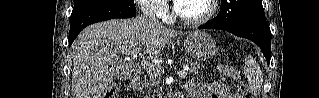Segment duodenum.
I'll use <instances>...</instances> for the list:
<instances>
[{
  "mask_svg": "<svg viewBox=\"0 0 319 98\" xmlns=\"http://www.w3.org/2000/svg\"><path fill=\"white\" fill-rule=\"evenodd\" d=\"M140 80H141L140 75H139L138 73H135V74L132 76V78H131V82H130L131 87H132V88H136V87L139 85ZM174 97H175V98H184V95L181 94V93H178V94H176Z\"/></svg>",
  "mask_w": 319,
  "mask_h": 98,
  "instance_id": "410a0bca",
  "label": "duodenum"
}]
</instances>
